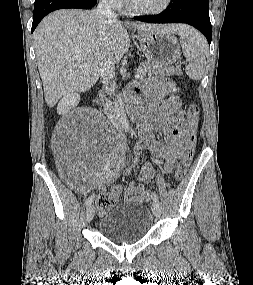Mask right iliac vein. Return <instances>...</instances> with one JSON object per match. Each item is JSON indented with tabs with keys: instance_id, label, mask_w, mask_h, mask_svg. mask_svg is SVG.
I'll return each mask as SVG.
<instances>
[{
	"instance_id": "63e3f726",
	"label": "right iliac vein",
	"mask_w": 253,
	"mask_h": 285,
	"mask_svg": "<svg viewBox=\"0 0 253 285\" xmlns=\"http://www.w3.org/2000/svg\"><path fill=\"white\" fill-rule=\"evenodd\" d=\"M95 214V208L93 205H89L86 210V220L88 223H90L94 217Z\"/></svg>"
}]
</instances>
